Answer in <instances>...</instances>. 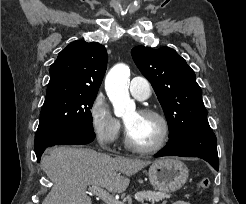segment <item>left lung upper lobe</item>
I'll return each instance as SVG.
<instances>
[{"label":"left lung upper lobe","mask_w":246,"mask_h":204,"mask_svg":"<svg viewBox=\"0 0 246 204\" xmlns=\"http://www.w3.org/2000/svg\"><path fill=\"white\" fill-rule=\"evenodd\" d=\"M131 54L156 92L170 128V138L209 125L195 73L175 50L137 46Z\"/></svg>","instance_id":"1"}]
</instances>
